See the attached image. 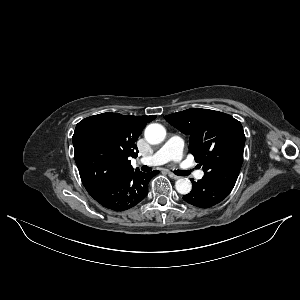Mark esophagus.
Here are the masks:
<instances>
[{
    "mask_svg": "<svg viewBox=\"0 0 300 300\" xmlns=\"http://www.w3.org/2000/svg\"><path fill=\"white\" fill-rule=\"evenodd\" d=\"M168 175H169V177L170 178H172V179H174V180H177V179H179L180 177L179 176H177V175H174L173 173H171V172H169L168 173Z\"/></svg>",
    "mask_w": 300,
    "mask_h": 300,
    "instance_id": "34e87169",
    "label": "esophagus"
}]
</instances>
